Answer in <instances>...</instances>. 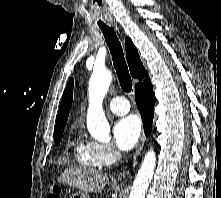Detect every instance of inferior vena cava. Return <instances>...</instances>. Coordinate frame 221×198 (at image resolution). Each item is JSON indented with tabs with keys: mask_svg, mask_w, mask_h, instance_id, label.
<instances>
[{
	"mask_svg": "<svg viewBox=\"0 0 221 198\" xmlns=\"http://www.w3.org/2000/svg\"><path fill=\"white\" fill-rule=\"evenodd\" d=\"M116 155H117V158H118V159H121L122 156H121V153H120V152H117Z\"/></svg>",
	"mask_w": 221,
	"mask_h": 198,
	"instance_id": "1",
	"label": "inferior vena cava"
}]
</instances>
